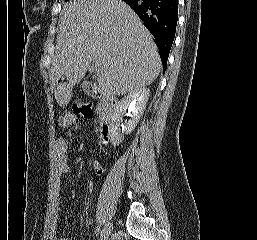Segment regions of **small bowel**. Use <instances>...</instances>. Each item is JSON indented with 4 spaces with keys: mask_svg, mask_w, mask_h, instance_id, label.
<instances>
[{
    "mask_svg": "<svg viewBox=\"0 0 257 240\" xmlns=\"http://www.w3.org/2000/svg\"><path fill=\"white\" fill-rule=\"evenodd\" d=\"M54 150V200L51 208L50 215V230L49 239L50 240H69L67 238H62L58 231L59 224V184L61 177L67 174L70 170L68 163L69 151L68 146L64 138H57L53 145ZM95 168L98 167V163H94Z\"/></svg>",
    "mask_w": 257,
    "mask_h": 240,
    "instance_id": "c3829d8e",
    "label": "small bowel"
}]
</instances>
